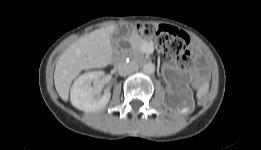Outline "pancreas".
<instances>
[{
	"instance_id": "1",
	"label": "pancreas",
	"mask_w": 261,
	"mask_h": 150,
	"mask_svg": "<svg viewBox=\"0 0 261 150\" xmlns=\"http://www.w3.org/2000/svg\"><path fill=\"white\" fill-rule=\"evenodd\" d=\"M144 43H148V41L145 40V39H141V38H136L134 40L135 48L137 49V51L139 52L140 56H142V57L144 56V53L141 50V45L144 44Z\"/></svg>"
}]
</instances>
